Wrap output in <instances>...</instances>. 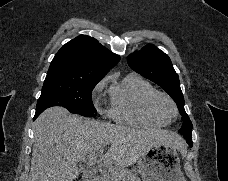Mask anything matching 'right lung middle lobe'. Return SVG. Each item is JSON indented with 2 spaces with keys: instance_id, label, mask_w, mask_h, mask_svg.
<instances>
[{
  "instance_id": "dd1d6c3e",
  "label": "right lung middle lobe",
  "mask_w": 228,
  "mask_h": 181,
  "mask_svg": "<svg viewBox=\"0 0 228 181\" xmlns=\"http://www.w3.org/2000/svg\"><path fill=\"white\" fill-rule=\"evenodd\" d=\"M96 81H64L45 79L42 93L37 102L36 114H41L46 108L63 106L71 113L85 117L97 115L93 106L91 92Z\"/></svg>"
}]
</instances>
